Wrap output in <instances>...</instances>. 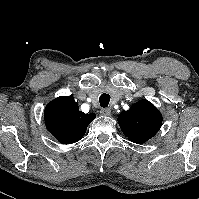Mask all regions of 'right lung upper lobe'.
<instances>
[{"label":"right lung upper lobe","instance_id":"1","mask_svg":"<svg viewBox=\"0 0 199 199\" xmlns=\"http://www.w3.org/2000/svg\"><path fill=\"white\" fill-rule=\"evenodd\" d=\"M45 124L49 132L62 144L79 141L87 126L96 117L85 114L72 96H61L52 100L45 108Z\"/></svg>","mask_w":199,"mask_h":199}]
</instances>
